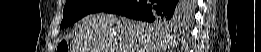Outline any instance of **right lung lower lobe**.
<instances>
[{
  "label": "right lung lower lobe",
  "instance_id": "obj_1",
  "mask_svg": "<svg viewBox=\"0 0 261 52\" xmlns=\"http://www.w3.org/2000/svg\"><path fill=\"white\" fill-rule=\"evenodd\" d=\"M103 11L147 22L175 19L186 12L179 0H125Z\"/></svg>",
  "mask_w": 261,
  "mask_h": 52
}]
</instances>
